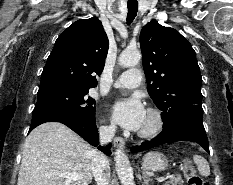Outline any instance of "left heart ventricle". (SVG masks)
I'll return each instance as SVG.
<instances>
[{
  "label": "left heart ventricle",
  "mask_w": 233,
  "mask_h": 185,
  "mask_svg": "<svg viewBox=\"0 0 233 185\" xmlns=\"http://www.w3.org/2000/svg\"><path fill=\"white\" fill-rule=\"evenodd\" d=\"M153 124V119L152 117L146 112V116H145V119H144V122L140 128V130H146L148 128H150Z\"/></svg>",
  "instance_id": "1"
}]
</instances>
